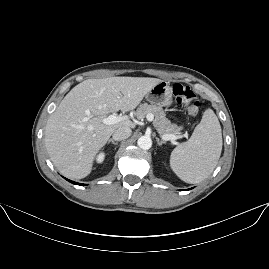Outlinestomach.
<instances>
[{
  "instance_id": "stomach-1",
  "label": "stomach",
  "mask_w": 269,
  "mask_h": 269,
  "mask_svg": "<svg viewBox=\"0 0 269 269\" xmlns=\"http://www.w3.org/2000/svg\"><path fill=\"white\" fill-rule=\"evenodd\" d=\"M145 98L153 105L169 106L172 103V88L168 82L161 81L146 94Z\"/></svg>"
}]
</instances>
